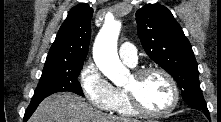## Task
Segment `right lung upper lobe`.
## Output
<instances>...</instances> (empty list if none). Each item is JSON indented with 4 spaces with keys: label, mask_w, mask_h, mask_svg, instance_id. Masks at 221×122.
<instances>
[{
    "label": "right lung upper lobe",
    "mask_w": 221,
    "mask_h": 122,
    "mask_svg": "<svg viewBox=\"0 0 221 122\" xmlns=\"http://www.w3.org/2000/svg\"><path fill=\"white\" fill-rule=\"evenodd\" d=\"M93 9L80 4L70 10L52 44L45 63L84 62L91 37Z\"/></svg>",
    "instance_id": "cb5924a9"
}]
</instances>
